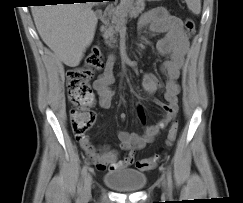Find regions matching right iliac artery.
<instances>
[{
    "mask_svg": "<svg viewBox=\"0 0 243 203\" xmlns=\"http://www.w3.org/2000/svg\"><path fill=\"white\" fill-rule=\"evenodd\" d=\"M87 171H88V164H85L81 171V183H80V187H79V190L81 191V197L83 196L82 190H83V184H84V181H85V178L87 175Z\"/></svg>",
    "mask_w": 243,
    "mask_h": 203,
    "instance_id": "1",
    "label": "right iliac artery"
}]
</instances>
